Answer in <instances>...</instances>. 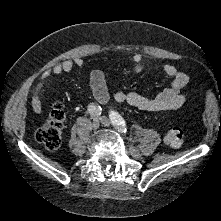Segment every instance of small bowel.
Segmentation results:
<instances>
[{"instance_id":"obj_1","label":"small bowel","mask_w":221,"mask_h":221,"mask_svg":"<svg viewBox=\"0 0 221 221\" xmlns=\"http://www.w3.org/2000/svg\"><path fill=\"white\" fill-rule=\"evenodd\" d=\"M131 59L135 72L141 70L146 62L144 56L139 53L132 54ZM83 64L84 60L80 57H76L74 59L65 60L44 71L32 88V103L35 112L39 114L42 113L41 92L50 79L62 73L70 72L75 66L81 67ZM162 70L166 76L172 79L170 87L164 89L152 98L145 97L136 92L118 91L114 94L115 102L119 104L127 103L140 110L149 112H167L179 109L186 101V95L182 90L188 83V75L179 71L171 64L163 65ZM89 80L95 100L100 105H105L109 101V92L103 71L99 69L93 70L90 73Z\"/></svg>"}]
</instances>
